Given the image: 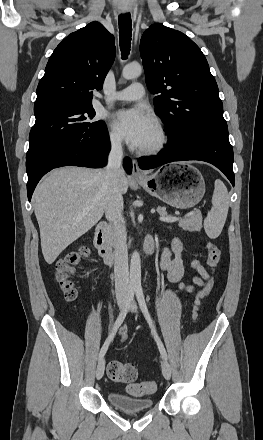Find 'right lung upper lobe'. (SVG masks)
Segmentation results:
<instances>
[{
	"mask_svg": "<svg viewBox=\"0 0 263 440\" xmlns=\"http://www.w3.org/2000/svg\"><path fill=\"white\" fill-rule=\"evenodd\" d=\"M116 55L115 39L98 22L68 35L54 50L37 87L34 108L92 104Z\"/></svg>",
	"mask_w": 263,
	"mask_h": 440,
	"instance_id": "obj_1",
	"label": "right lung upper lobe"
}]
</instances>
